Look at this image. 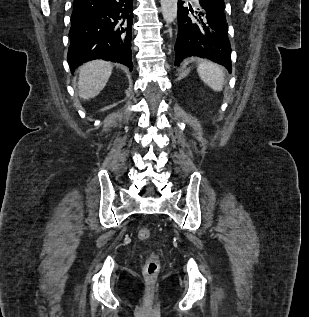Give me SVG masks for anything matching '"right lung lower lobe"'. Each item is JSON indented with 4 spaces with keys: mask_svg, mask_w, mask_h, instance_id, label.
Masks as SVG:
<instances>
[{
    "mask_svg": "<svg viewBox=\"0 0 309 317\" xmlns=\"http://www.w3.org/2000/svg\"><path fill=\"white\" fill-rule=\"evenodd\" d=\"M133 0H74L67 61L73 72L92 59L133 69L131 28Z\"/></svg>",
    "mask_w": 309,
    "mask_h": 317,
    "instance_id": "right-lung-lower-lobe-1",
    "label": "right lung lower lobe"
}]
</instances>
